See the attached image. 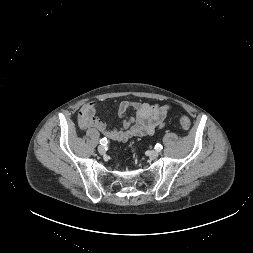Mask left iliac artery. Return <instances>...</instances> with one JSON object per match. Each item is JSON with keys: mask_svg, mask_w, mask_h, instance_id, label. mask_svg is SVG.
Listing matches in <instances>:
<instances>
[{"mask_svg": "<svg viewBox=\"0 0 253 253\" xmlns=\"http://www.w3.org/2000/svg\"><path fill=\"white\" fill-rule=\"evenodd\" d=\"M162 145L161 144H157L156 146H155V149L157 150V151H161L162 150Z\"/></svg>", "mask_w": 253, "mask_h": 253, "instance_id": "left-iliac-artery-1", "label": "left iliac artery"}]
</instances>
